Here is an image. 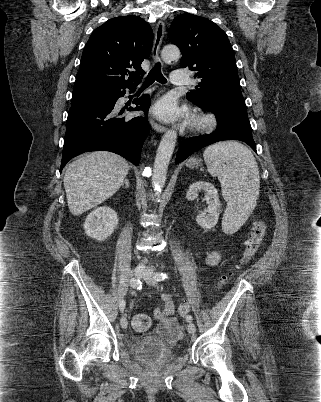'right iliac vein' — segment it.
I'll return each mask as SVG.
<instances>
[{"mask_svg":"<svg viewBox=\"0 0 321 402\" xmlns=\"http://www.w3.org/2000/svg\"><path fill=\"white\" fill-rule=\"evenodd\" d=\"M145 271H146L145 267H143V266H137V267L134 269V275H135L136 278L140 279V278H142L143 275L145 274ZM120 324H121V327H122V328L126 329L127 326H128V321H127V319H126L125 317H122V318L120 319Z\"/></svg>","mask_w":321,"mask_h":402,"instance_id":"63e3f726","label":"right iliac vein"}]
</instances>
